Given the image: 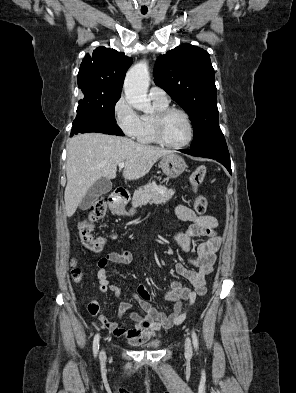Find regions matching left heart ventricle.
Instances as JSON below:
<instances>
[{
  "label": "left heart ventricle",
  "mask_w": 296,
  "mask_h": 393,
  "mask_svg": "<svg viewBox=\"0 0 296 393\" xmlns=\"http://www.w3.org/2000/svg\"><path fill=\"white\" fill-rule=\"evenodd\" d=\"M164 138L171 144L183 143L189 134L185 118L180 114L170 115L164 124Z\"/></svg>",
  "instance_id": "b2bd125f"
}]
</instances>
